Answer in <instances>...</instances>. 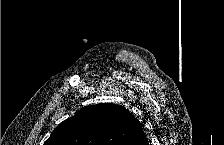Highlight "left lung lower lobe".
Returning <instances> with one entry per match:
<instances>
[{
    "label": "left lung lower lobe",
    "mask_w": 224,
    "mask_h": 145,
    "mask_svg": "<svg viewBox=\"0 0 224 145\" xmlns=\"http://www.w3.org/2000/svg\"><path fill=\"white\" fill-rule=\"evenodd\" d=\"M137 145H147L145 134H143L142 138L138 141Z\"/></svg>",
    "instance_id": "obj_1"
}]
</instances>
